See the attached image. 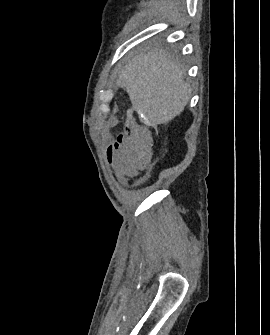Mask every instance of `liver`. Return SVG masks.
<instances>
[{"instance_id":"6515ba94","label":"liver","mask_w":270,"mask_h":335,"mask_svg":"<svg viewBox=\"0 0 270 335\" xmlns=\"http://www.w3.org/2000/svg\"><path fill=\"white\" fill-rule=\"evenodd\" d=\"M126 60L118 84L125 88L133 110L143 114L147 126L166 124L183 112L192 88L184 82L177 62L168 60L159 48H147Z\"/></svg>"}]
</instances>
